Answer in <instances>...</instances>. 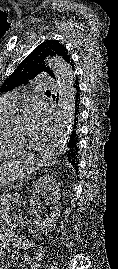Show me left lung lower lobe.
Returning <instances> with one entry per match:
<instances>
[{
    "mask_svg": "<svg viewBox=\"0 0 118 269\" xmlns=\"http://www.w3.org/2000/svg\"><path fill=\"white\" fill-rule=\"evenodd\" d=\"M78 83L74 85L75 94H74V107H73V130L67 140L66 146L63 150V156L68 159V162L74 167L77 171L78 167V135H77V123L79 115V93H78Z\"/></svg>",
    "mask_w": 118,
    "mask_h": 269,
    "instance_id": "left-lung-lower-lobe-1",
    "label": "left lung lower lobe"
}]
</instances>
